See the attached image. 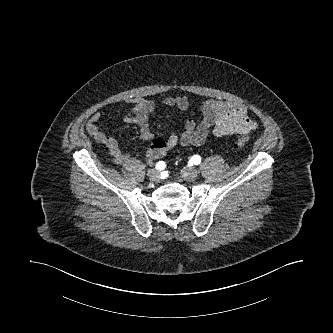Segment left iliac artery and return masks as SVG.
<instances>
[{
  "label": "left iliac artery",
  "instance_id": "obj_1",
  "mask_svg": "<svg viewBox=\"0 0 333 333\" xmlns=\"http://www.w3.org/2000/svg\"><path fill=\"white\" fill-rule=\"evenodd\" d=\"M190 161L192 164L198 165L201 162V157L199 155H194L191 157Z\"/></svg>",
  "mask_w": 333,
  "mask_h": 333
}]
</instances>
